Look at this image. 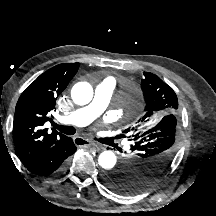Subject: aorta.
Instances as JSON below:
<instances>
[{
  "instance_id": "obj_1",
  "label": "aorta",
  "mask_w": 216,
  "mask_h": 216,
  "mask_svg": "<svg viewBox=\"0 0 216 216\" xmlns=\"http://www.w3.org/2000/svg\"><path fill=\"white\" fill-rule=\"evenodd\" d=\"M71 97L74 103L86 105L93 98V88L87 82H79L73 86ZM116 161V155L112 151H104L98 157V164L105 170L114 168Z\"/></svg>"
}]
</instances>
